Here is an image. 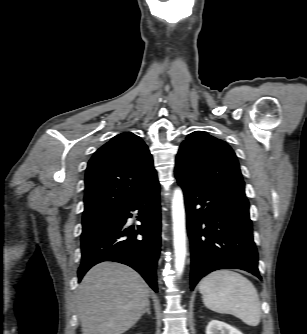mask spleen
<instances>
[{"instance_id": "1", "label": "spleen", "mask_w": 307, "mask_h": 334, "mask_svg": "<svg viewBox=\"0 0 307 334\" xmlns=\"http://www.w3.org/2000/svg\"><path fill=\"white\" fill-rule=\"evenodd\" d=\"M199 291L208 309L234 315L249 326L259 324V296L251 281L243 275L231 270L214 271L201 280Z\"/></svg>"}]
</instances>
